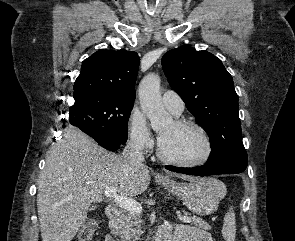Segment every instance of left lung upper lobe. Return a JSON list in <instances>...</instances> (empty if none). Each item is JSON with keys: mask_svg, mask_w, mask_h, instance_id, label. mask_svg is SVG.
<instances>
[{"mask_svg": "<svg viewBox=\"0 0 295 241\" xmlns=\"http://www.w3.org/2000/svg\"><path fill=\"white\" fill-rule=\"evenodd\" d=\"M162 68L170 86L209 136L212 150L206 164L246 169L238 96L221 60L185 45L165 53Z\"/></svg>", "mask_w": 295, "mask_h": 241, "instance_id": "left-lung-upper-lobe-1", "label": "left lung upper lobe"}]
</instances>
